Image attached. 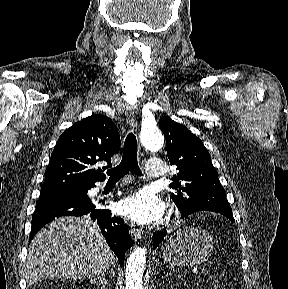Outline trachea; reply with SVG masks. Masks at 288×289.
<instances>
[{"mask_svg": "<svg viewBox=\"0 0 288 289\" xmlns=\"http://www.w3.org/2000/svg\"><path fill=\"white\" fill-rule=\"evenodd\" d=\"M129 171L137 176H142L137 161V140L132 132H130L125 139L123 157L120 164L107 170L106 173L110 181H118Z\"/></svg>", "mask_w": 288, "mask_h": 289, "instance_id": "trachea-1", "label": "trachea"}]
</instances>
